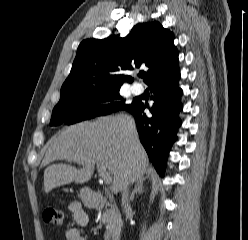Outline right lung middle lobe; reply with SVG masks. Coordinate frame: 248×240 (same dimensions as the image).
I'll return each instance as SVG.
<instances>
[{"label": "right lung middle lobe", "instance_id": "1", "mask_svg": "<svg viewBox=\"0 0 248 240\" xmlns=\"http://www.w3.org/2000/svg\"><path fill=\"white\" fill-rule=\"evenodd\" d=\"M131 104L125 103L119 94V89L61 90L60 101L53 109L50 125L74 124L124 110Z\"/></svg>", "mask_w": 248, "mask_h": 240}]
</instances>
